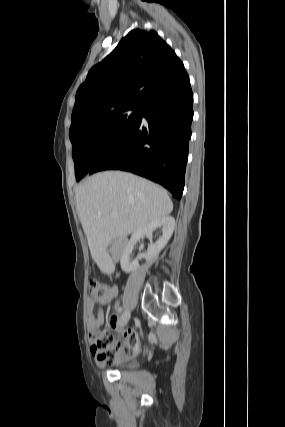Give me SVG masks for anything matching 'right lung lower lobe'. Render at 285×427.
Returning a JSON list of instances; mask_svg holds the SVG:
<instances>
[{
    "mask_svg": "<svg viewBox=\"0 0 285 427\" xmlns=\"http://www.w3.org/2000/svg\"><path fill=\"white\" fill-rule=\"evenodd\" d=\"M192 104L193 94L184 69L147 94L140 116L126 138L89 173L129 171L163 185L180 200L191 138Z\"/></svg>",
    "mask_w": 285,
    "mask_h": 427,
    "instance_id": "obj_1",
    "label": "right lung lower lobe"
}]
</instances>
